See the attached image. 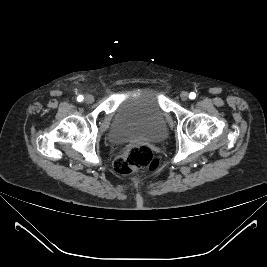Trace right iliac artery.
<instances>
[{"label": "right iliac artery", "mask_w": 267, "mask_h": 267, "mask_svg": "<svg viewBox=\"0 0 267 267\" xmlns=\"http://www.w3.org/2000/svg\"><path fill=\"white\" fill-rule=\"evenodd\" d=\"M77 100H78L79 102H81V101L83 100V96H81V95L78 96V97H77Z\"/></svg>", "instance_id": "1"}]
</instances>
